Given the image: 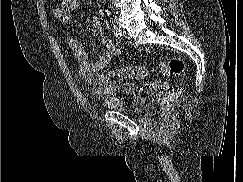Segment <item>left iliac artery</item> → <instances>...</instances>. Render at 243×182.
<instances>
[{
	"mask_svg": "<svg viewBox=\"0 0 243 182\" xmlns=\"http://www.w3.org/2000/svg\"><path fill=\"white\" fill-rule=\"evenodd\" d=\"M113 32L116 37L122 36V32L117 25H113Z\"/></svg>",
	"mask_w": 243,
	"mask_h": 182,
	"instance_id": "left-iliac-artery-1",
	"label": "left iliac artery"
}]
</instances>
